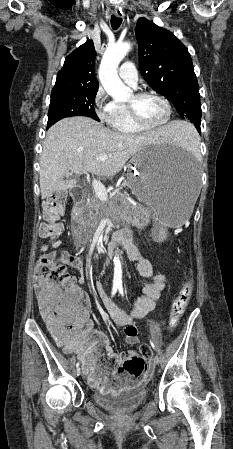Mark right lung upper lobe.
<instances>
[{"label": "right lung upper lobe", "mask_w": 233, "mask_h": 449, "mask_svg": "<svg viewBox=\"0 0 233 449\" xmlns=\"http://www.w3.org/2000/svg\"><path fill=\"white\" fill-rule=\"evenodd\" d=\"M95 48L91 40L78 47L65 58L51 94L61 92L98 91L94 76Z\"/></svg>", "instance_id": "right-lung-upper-lobe-1"}]
</instances>
